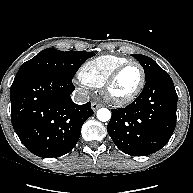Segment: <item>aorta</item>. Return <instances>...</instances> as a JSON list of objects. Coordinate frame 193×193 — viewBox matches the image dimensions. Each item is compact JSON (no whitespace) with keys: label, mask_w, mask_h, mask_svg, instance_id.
<instances>
[{"label":"aorta","mask_w":193,"mask_h":193,"mask_svg":"<svg viewBox=\"0 0 193 193\" xmlns=\"http://www.w3.org/2000/svg\"><path fill=\"white\" fill-rule=\"evenodd\" d=\"M97 118L102 122L109 121L111 118V112L107 108H100L97 111Z\"/></svg>","instance_id":"aorta-1"}]
</instances>
